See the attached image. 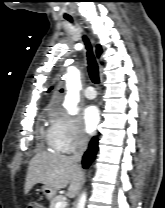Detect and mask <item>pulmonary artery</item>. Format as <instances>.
Returning a JSON list of instances; mask_svg holds the SVG:
<instances>
[{"instance_id":"obj_1","label":"pulmonary artery","mask_w":165,"mask_h":208,"mask_svg":"<svg viewBox=\"0 0 165 208\" xmlns=\"http://www.w3.org/2000/svg\"><path fill=\"white\" fill-rule=\"evenodd\" d=\"M84 96L90 100L94 99L96 97V92L94 88L92 86L86 87L84 90Z\"/></svg>"}]
</instances>
